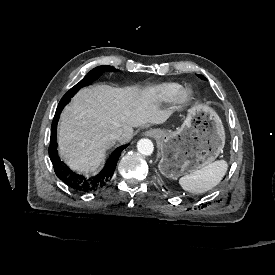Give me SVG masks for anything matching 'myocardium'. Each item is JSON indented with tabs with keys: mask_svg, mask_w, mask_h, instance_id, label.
I'll return each mask as SVG.
<instances>
[{
	"mask_svg": "<svg viewBox=\"0 0 275 275\" xmlns=\"http://www.w3.org/2000/svg\"><path fill=\"white\" fill-rule=\"evenodd\" d=\"M192 99V92L188 89H180L175 96V104L178 108L186 107Z\"/></svg>",
	"mask_w": 275,
	"mask_h": 275,
	"instance_id": "myocardium-1",
	"label": "myocardium"
}]
</instances>
